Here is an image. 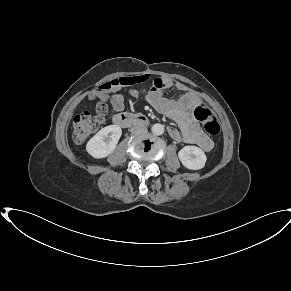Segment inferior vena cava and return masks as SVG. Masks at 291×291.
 <instances>
[{
    "instance_id": "602c4592",
    "label": "inferior vena cava",
    "mask_w": 291,
    "mask_h": 291,
    "mask_svg": "<svg viewBox=\"0 0 291 291\" xmlns=\"http://www.w3.org/2000/svg\"><path fill=\"white\" fill-rule=\"evenodd\" d=\"M130 132L132 134H143V133H146L147 132V128L146 127H143V126H133L130 129Z\"/></svg>"
}]
</instances>
